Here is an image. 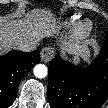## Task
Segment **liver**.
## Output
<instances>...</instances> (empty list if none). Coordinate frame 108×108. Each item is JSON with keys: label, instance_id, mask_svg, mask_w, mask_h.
<instances>
[{"label": "liver", "instance_id": "obj_1", "mask_svg": "<svg viewBox=\"0 0 108 108\" xmlns=\"http://www.w3.org/2000/svg\"><path fill=\"white\" fill-rule=\"evenodd\" d=\"M56 28L55 18L44 9H33L24 19L9 22L0 21V52L18 49L22 44L39 42L42 38L51 35ZM69 50L73 54L88 57V47L71 43Z\"/></svg>", "mask_w": 108, "mask_h": 108}]
</instances>
